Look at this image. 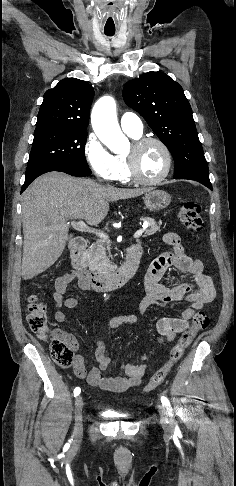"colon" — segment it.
Returning a JSON list of instances; mask_svg holds the SVG:
<instances>
[{"instance_id":"obj_1","label":"colon","mask_w":236,"mask_h":486,"mask_svg":"<svg viewBox=\"0 0 236 486\" xmlns=\"http://www.w3.org/2000/svg\"><path fill=\"white\" fill-rule=\"evenodd\" d=\"M178 217L181 223L193 234L199 233L203 229L201 207L196 202H183L179 209ZM27 322L30 329L41 339H50L51 356L58 366L67 368L72 365L74 360L72 347L58 332L50 330L46 307L39 301L36 295L29 297ZM208 324L209 317L205 312L199 311L195 314L192 326L181 334L177 343L171 349L168 361L154 373L144 387L145 392L156 389L164 382L167 374L182 358L186 348L194 340L197 332L207 327Z\"/></svg>"}]
</instances>
